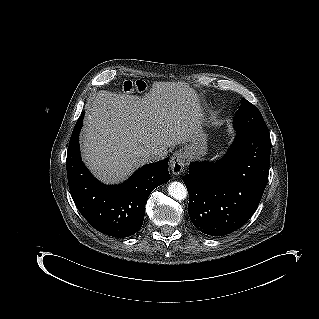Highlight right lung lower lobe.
Masks as SVG:
<instances>
[{"label": "right lung lower lobe", "mask_w": 319, "mask_h": 319, "mask_svg": "<svg viewBox=\"0 0 319 319\" xmlns=\"http://www.w3.org/2000/svg\"><path fill=\"white\" fill-rule=\"evenodd\" d=\"M81 114L69 142L66 169L72 198L82 216L99 232L113 237H129L142 226L150 193L169 180L168 161L147 164L120 185L97 181L81 160L79 132Z\"/></svg>", "instance_id": "1"}]
</instances>
